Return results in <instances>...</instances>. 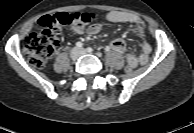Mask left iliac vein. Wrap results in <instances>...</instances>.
I'll list each match as a JSON object with an SVG mask.
<instances>
[{
	"label": "left iliac vein",
	"instance_id": "obj_1",
	"mask_svg": "<svg viewBox=\"0 0 194 133\" xmlns=\"http://www.w3.org/2000/svg\"><path fill=\"white\" fill-rule=\"evenodd\" d=\"M79 51H80L81 55H84V54L88 53V51L86 49H84V48L80 49Z\"/></svg>",
	"mask_w": 194,
	"mask_h": 133
}]
</instances>
